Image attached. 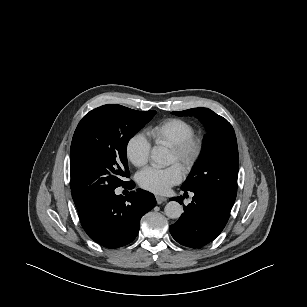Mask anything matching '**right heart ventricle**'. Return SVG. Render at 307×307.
Instances as JSON below:
<instances>
[{"label":"right heart ventricle","instance_id":"obj_1","mask_svg":"<svg viewBox=\"0 0 307 307\" xmlns=\"http://www.w3.org/2000/svg\"><path fill=\"white\" fill-rule=\"evenodd\" d=\"M194 132V126L190 122L170 118L150 128L147 134L156 146L171 148L194 135Z\"/></svg>","mask_w":307,"mask_h":307}]
</instances>
